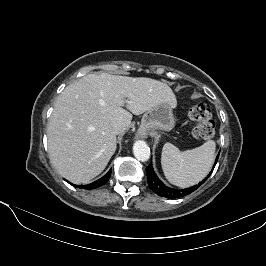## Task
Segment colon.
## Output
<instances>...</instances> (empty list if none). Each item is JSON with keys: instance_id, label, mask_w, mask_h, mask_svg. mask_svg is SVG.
Listing matches in <instances>:
<instances>
[{"instance_id": "5ec220e1", "label": "colon", "mask_w": 266, "mask_h": 266, "mask_svg": "<svg viewBox=\"0 0 266 266\" xmlns=\"http://www.w3.org/2000/svg\"><path fill=\"white\" fill-rule=\"evenodd\" d=\"M190 119L196 122L193 134L201 140H209L215 135V123L211 110L205 104H197L188 111Z\"/></svg>"}]
</instances>
